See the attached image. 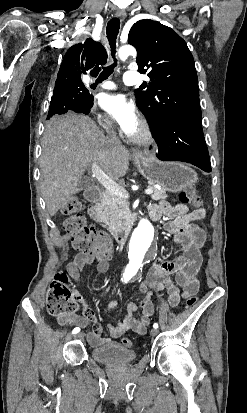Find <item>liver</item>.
I'll list each match as a JSON object with an SVG mask.
<instances>
[{
	"instance_id": "obj_1",
	"label": "liver",
	"mask_w": 247,
	"mask_h": 413,
	"mask_svg": "<svg viewBox=\"0 0 247 413\" xmlns=\"http://www.w3.org/2000/svg\"><path fill=\"white\" fill-rule=\"evenodd\" d=\"M40 186L49 215L53 217L71 194L90 162L118 180L128 170L129 150L121 142H108L103 130L85 114L67 112L47 122L42 136Z\"/></svg>"
}]
</instances>
